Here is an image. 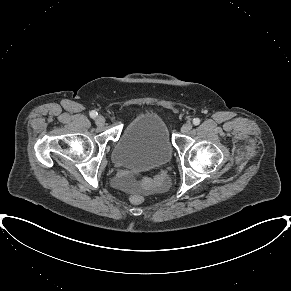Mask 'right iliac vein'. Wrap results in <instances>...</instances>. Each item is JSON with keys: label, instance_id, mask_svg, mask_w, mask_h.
<instances>
[{"label": "right iliac vein", "instance_id": "obj_1", "mask_svg": "<svg viewBox=\"0 0 291 291\" xmlns=\"http://www.w3.org/2000/svg\"><path fill=\"white\" fill-rule=\"evenodd\" d=\"M95 122L98 126H103L105 124V118L102 115L96 117Z\"/></svg>", "mask_w": 291, "mask_h": 291}]
</instances>
